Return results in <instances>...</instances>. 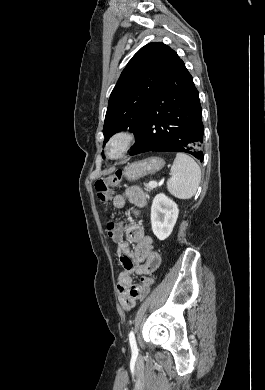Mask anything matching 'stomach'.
<instances>
[{"label": "stomach", "mask_w": 265, "mask_h": 390, "mask_svg": "<svg viewBox=\"0 0 265 390\" xmlns=\"http://www.w3.org/2000/svg\"><path fill=\"white\" fill-rule=\"evenodd\" d=\"M165 162L158 157L147 158L125 166L123 175L129 181L137 180L145 175L153 174L162 169Z\"/></svg>", "instance_id": "stomach-1"}]
</instances>
